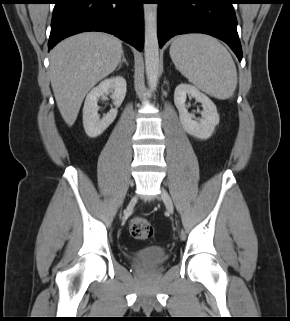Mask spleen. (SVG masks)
Instances as JSON below:
<instances>
[{
	"instance_id": "1",
	"label": "spleen",
	"mask_w": 290,
	"mask_h": 321,
	"mask_svg": "<svg viewBox=\"0 0 290 321\" xmlns=\"http://www.w3.org/2000/svg\"><path fill=\"white\" fill-rule=\"evenodd\" d=\"M170 56L181 74L207 94L219 99L234 94L235 63L215 38L202 34L182 35L173 41Z\"/></svg>"
}]
</instances>
